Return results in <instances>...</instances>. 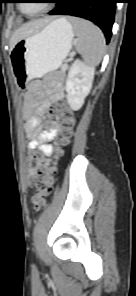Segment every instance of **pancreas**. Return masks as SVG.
I'll use <instances>...</instances> for the list:
<instances>
[{"label":"pancreas","mask_w":136,"mask_h":296,"mask_svg":"<svg viewBox=\"0 0 136 296\" xmlns=\"http://www.w3.org/2000/svg\"><path fill=\"white\" fill-rule=\"evenodd\" d=\"M67 69V68H66ZM66 69H62V72H61V77L63 78L64 77V75H65V71H66Z\"/></svg>","instance_id":"1"}]
</instances>
